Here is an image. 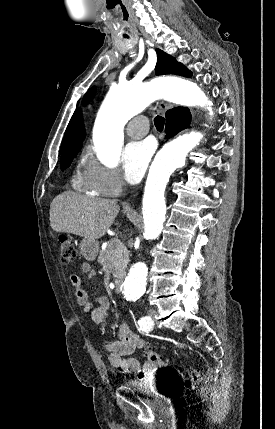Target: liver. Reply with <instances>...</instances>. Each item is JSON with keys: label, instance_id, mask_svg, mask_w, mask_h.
<instances>
[{"label": "liver", "instance_id": "liver-1", "mask_svg": "<svg viewBox=\"0 0 275 429\" xmlns=\"http://www.w3.org/2000/svg\"><path fill=\"white\" fill-rule=\"evenodd\" d=\"M119 210L116 200L91 198L67 191L51 202L50 225L56 232L96 240L111 227Z\"/></svg>", "mask_w": 275, "mask_h": 429}]
</instances>
